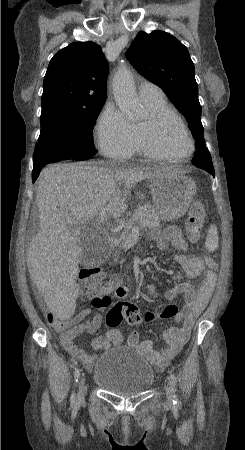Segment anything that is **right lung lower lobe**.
I'll list each match as a JSON object with an SVG mask.
<instances>
[{
    "instance_id": "obj_1",
    "label": "right lung lower lobe",
    "mask_w": 245,
    "mask_h": 450,
    "mask_svg": "<svg viewBox=\"0 0 245 450\" xmlns=\"http://www.w3.org/2000/svg\"><path fill=\"white\" fill-rule=\"evenodd\" d=\"M91 156H93V155H73V156H67V157H64V158H61V159H58V160H55V161L65 160V159L86 160V159H89ZM52 162H54V161H52ZM50 163H51V162H50ZM47 164H48V163H47ZM45 165H46V164H45ZM45 165H43V166L40 167V168H35V169H33V171H32V180H33V182L37 179V177H38V175H39V172L41 171V169H42Z\"/></svg>"
}]
</instances>
